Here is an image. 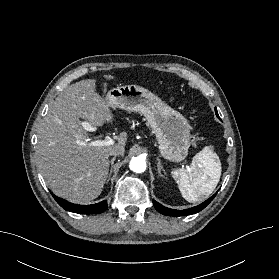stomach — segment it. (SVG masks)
Instances as JSON below:
<instances>
[{"label": "stomach", "mask_w": 279, "mask_h": 279, "mask_svg": "<svg viewBox=\"0 0 279 279\" xmlns=\"http://www.w3.org/2000/svg\"><path fill=\"white\" fill-rule=\"evenodd\" d=\"M107 96L114 107L138 112L146 118L162 157L173 162L186 158L190 145V126L180 112L138 85L113 88L108 91Z\"/></svg>", "instance_id": "1"}]
</instances>
